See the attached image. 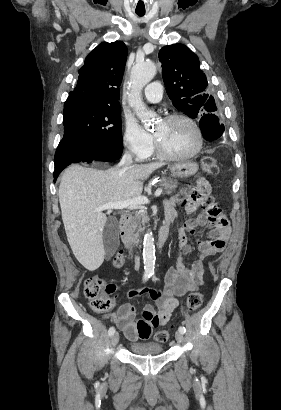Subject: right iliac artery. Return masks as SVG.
Returning a JSON list of instances; mask_svg holds the SVG:
<instances>
[{
	"mask_svg": "<svg viewBox=\"0 0 281 410\" xmlns=\"http://www.w3.org/2000/svg\"><path fill=\"white\" fill-rule=\"evenodd\" d=\"M148 278H150V275L145 274V275L143 276V281H146ZM114 333H115V328H114V327H110L109 330H108V335H109V336H112Z\"/></svg>",
	"mask_w": 281,
	"mask_h": 410,
	"instance_id": "right-iliac-artery-1",
	"label": "right iliac artery"
}]
</instances>
